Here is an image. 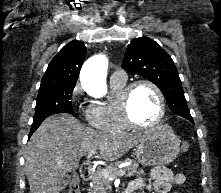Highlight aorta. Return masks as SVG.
<instances>
[{"label": "aorta", "instance_id": "762f6f07", "mask_svg": "<svg viewBox=\"0 0 221 193\" xmlns=\"http://www.w3.org/2000/svg\"><path fill=\"white\" fill-rule=\"evenodd\" d=\"M105 65V58L98 55L89 59L83 66V76H85L88 81L93 83V87L89 89L93 96L100 97L106 93V85L103 79Z\"/></svg>", "mask_w": 221, "mask_h": 193}]
</instances>
